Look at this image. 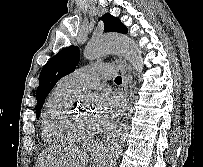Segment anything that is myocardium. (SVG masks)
<instances>
[{
  "label": "myocardium",
  "mask_w": 203,
  "mask_h": 167,
  "mask_svg": "<svg viewBox=\"0 0 203 167\" xmlns=\"http://www.w3.org/2000/svg\"><path fill=\"white\" fill-rule=\"evenodd\" d=\"M79 95V92L75 93L69 108L62 115L59 121V127L71 139L75 141H85L93 138L98 133V131H82L78 128L77 119L75 116L76 109L74 107V103Z\"/></svg>",
  "instance_id": "myocardium-1"
}]
</instances>
